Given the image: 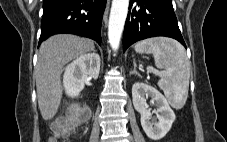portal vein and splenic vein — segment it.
Wrapping results in <instances>:
<instances>
[{
  "instance_id": "18ae733b",
  "label": "portal vein and splenic vein",
  "mask_w": 227,
  "mask_h": 142,
  "mask_svg": "<svg viewBox=\"0 0 227 142\" xmlns=\"http://www.w3.org/2000/svg\"><path fill=\"white\" fill-rule=\"evenodd\" d=\"M147 70L150 71V72H153L155 74H158V75H161L162 74V72H160V71H158L156 69H153V68H148Z\"/></svg>"
}]
</instances>
